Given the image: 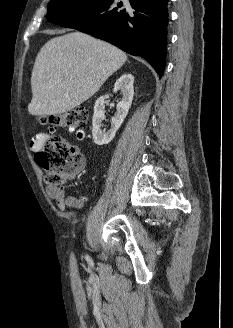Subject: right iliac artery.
I'll list each match as a JSON object with an SVG mask.
<instances>
[{
    "mask_svg": "<svg viewBox=\"0 0 233 328\" xmlns=\"http://www.w3.org/2000/svg\"><path fill=\"white\" fill-rule=\"evenodd\" d=\"M86 259H87V260H89V259H90L88 255H86Z\"/></svg>",
    "mask_w": 233,
    "mask_h": 328,
    "instance_id": "1",
    "label": "right iliac artery"
}]
</instances>
